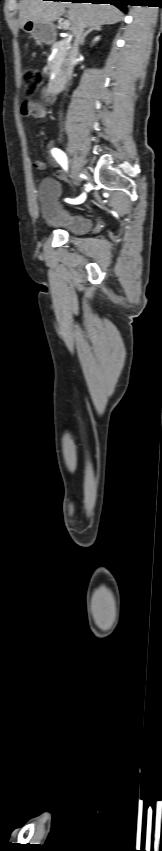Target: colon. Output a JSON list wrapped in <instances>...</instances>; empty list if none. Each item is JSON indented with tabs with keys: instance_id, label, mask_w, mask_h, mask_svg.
<instances>
[{
	"instance_id": "1",
	"label": "colon",
	"mask_w": 162,
	"mask_h": 851,
	"mask_svg": "<svg viewBox=\"0 0 162 851\" xmlns=\"http://www.w3.org/2000/svg\"><path fill=\"white\" fill-rule=\"evenodd\" d=\"M24 80L26 91L28 93H34L41 83V75L36 70H26L24 72Z\"/></svg>"
}]
</instances>
